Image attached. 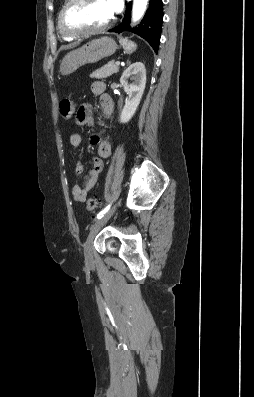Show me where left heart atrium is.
Masks as SVG:
<instances>
[{"label":"left heart atrium","instance_id":"39dd6f15","mask_svg":"<svg viewBox=\"0 0 254 397\" xmlns=\"http://www.w3.org/2000/svg\"><path fill=\"white\" fill-rule=\"evenodd\" d=\"M105 3L111 15L116 14L122 8V0H105Z\"/></svg>","mask_w":254,"mask_h":397}]
</instances>
